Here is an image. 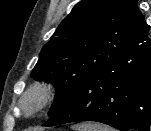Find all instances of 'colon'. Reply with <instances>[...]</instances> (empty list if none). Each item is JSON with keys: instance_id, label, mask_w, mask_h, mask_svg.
I'll return each mask as SVG.
<instances>
[{"instance_id": "obj_1", "label": "colon", "mask_w": 151, "mask_h": 131, "mask_svg": "<svg viewBox=\"0 0 151 131\" xmlns=\"http://www.w3.org/2000/svg\"><path fill=\"white\" fill-rule=\"evenodd\" d=\"M28 131H40V130H38V129H30Z\"/></svg>"}]
</instances>
